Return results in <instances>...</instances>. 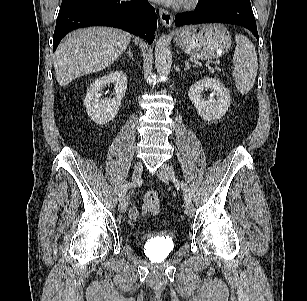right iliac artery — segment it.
<instances>
[{
  "label": "right iliac artery",
  "instance_id": "obj_1",
  "mask_svg": "<svg viewBox=\"0 0 307 301\" xmlns=\"http://www.w3.org/2000/svg\"><path fill=\"white\" fill-rule=\"evenodd\" d=\"M133 183L132 182H126L120 189V193H119V201H122L125 196H126V192L128 191V189H130L131 187H133Z\"/></svg>",
  "mask_w": 307,
  "mask_h": 301
}]
</instances>
